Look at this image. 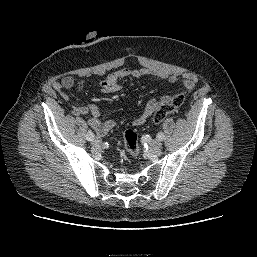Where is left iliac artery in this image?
I'll return each mask as SVG.
<instances>
[{
	"label": "left iliac artery",
	"mask_w": 257,
	"mask_h": 257,
	"mask_svg": "<svg viewBox=\"0 0 257 257\" xmlns=\"http://www.w3.org/2000/svg\"><path fill=\"white\" fill-rule=\"evenodd\" d=\"M157 138L159 140H164L165 136H164V134L162 132H160V133L157 134Z\"/></svg>",
	"instance_id": "1"
}]
</instances>
